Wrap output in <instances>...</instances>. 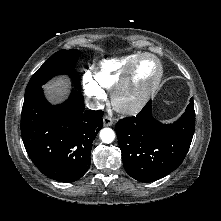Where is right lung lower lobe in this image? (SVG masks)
<instances>
[{"label":"right lung lower lobe","mask_w":221,"mask_h":221,"mask_svg":"<svg viewBox=\"0 0 221 221\" xmlns=\"http://www.w3.org/2000/svg\"><path fill=\"white\" fill-rule=\"evenodd\" d=\"M102 116V111L85 110L78 89L59 105H51L42 88L26 95L21 134L30 159L51 179L78 180L90 167L92 142L103 126Z\"/></svg>","instance_id":"right-lung-lower-lobe-1"}]
</instances>
